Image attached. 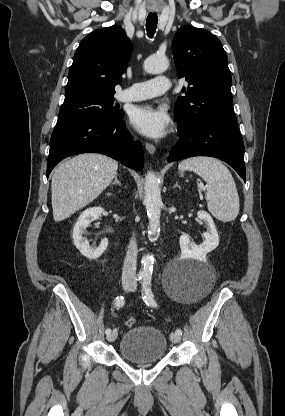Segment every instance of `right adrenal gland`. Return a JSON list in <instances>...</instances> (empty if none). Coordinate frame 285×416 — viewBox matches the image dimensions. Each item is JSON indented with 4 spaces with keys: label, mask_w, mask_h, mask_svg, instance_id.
<instances>
[{
    "label": "right adrenal gland",
    "mask_w": 285,
    "mask_h": 416,
    "mask_svg": "<svg viewBox=\"0 0 285 416\" xmlns=\"http://www.w3.org/2000/svg\"><path fill=\"white\" fill-rule=\"evenodd\" d=\"M115 184H118V186H121V182H119L117 176H115V180H114V182H112L111 188H113V186H115Z\"/></svg>",
    "instance_id": "1"
}]
</instances>
